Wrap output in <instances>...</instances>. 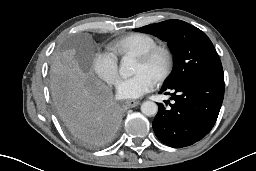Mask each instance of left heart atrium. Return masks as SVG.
<instances>
[{"label": "left heart atrium", "instance_id": "obj_1", "mask_svg": "<svg viewBox=\"0 0 256 171\" xmlns=\"http://www.w3.org/2000/svg\"><path fill=\"white\" fill-rule=\"evenodd\" d=\"M154 87V80L145 73H138L118 82L117 96L123 99H135L143 96Z\"/></svg>", "mask_w": 256, "mask_h": 171}]
</instances>
